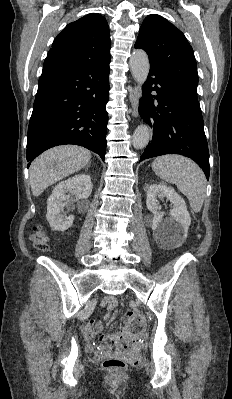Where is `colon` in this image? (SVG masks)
Instances as JSON below:
<instances>
[{
	"mask_svg": "<svg viewBox=\"0 0 232 399\" xmlns=\"http://www.w3.org/2000/svg\"><path fill=\"white\" fill-rule=\"evenodd\" d=\"M32 239L37 251L46 252L50 248L48 237L41 230L32 234ZM144 330L143 313H128L124 330H117L116 334H104L103 330L97 331L99 342L98 353H139V346L135 337H142ZM127 365L126 355H105L101 361V368H112V374H121L124 366Z\"/></svg>",
	"mask_w": 232,
	"mask_h": 399,
	"instance_id": "1",
	"label": "colon"
}]
</instances>
